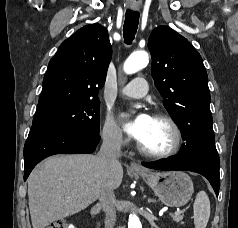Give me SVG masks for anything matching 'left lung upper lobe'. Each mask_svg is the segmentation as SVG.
I'll return each instance as SVG.
<instances>
[{
    "label": "left lung upper lobe",
    "mask_w": 238,
    "mask_h": 228,
    "mask_svg": "<svg viewBox=\"0 0 238 228\" xmlns=\"http://www.w3.org/2000/svg\"><path fill=\"white\" fill-rule=\"evenodd\" d=\"M148 48L155 86L185 141L176 156L185 162L215 152L208 76L200 54L186 38L165 25L152 31Z\"/></svg>",
    "instance_id": "5c2ea615"
}]
</instances>
